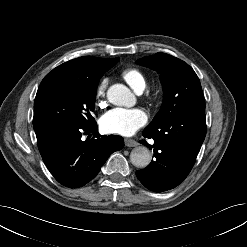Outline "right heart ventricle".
I'll use <instances>...</instances> for the list:
<instances>
[{"label":"right heart ventricle","mask_w":247,"mask_h":247,"mask_svg":"<svg viewBox=\"0 0 247 247\" xmlns=\"http://www.w3.org/2000/svg\"><path fill=\"white\" fill-rule=\"evenodd\" d=\"M121 77L137 93L142 92L146 87L144 73L136 67H127L121 71Z\"/></svg>","instance_id":"e07e8e85"}]
</instances>
